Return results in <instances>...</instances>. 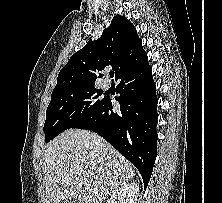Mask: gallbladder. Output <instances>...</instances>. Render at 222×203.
Returning <instances> with one entry per match:
<instances>
[{
  "instance_id": "1",
  "label": "gallbladder",
  "mask_w": 222,
  "mask_h": 203,
  "mask_svg": "<svg viewBox=\"0 0 222 203\" xmlns=\"http://www.w3.org/2000/svg\"><path fill=\"white\" fill-rule=\"evenodd\" d=\"M61 203H76L75 201H62Z\"/></svg>"
}]
</instances>
